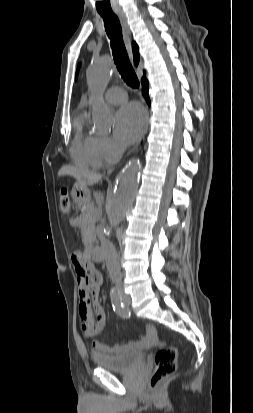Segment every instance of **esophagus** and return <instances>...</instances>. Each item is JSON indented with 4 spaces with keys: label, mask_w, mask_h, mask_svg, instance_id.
<instances>
[{
    "label": "esophagus",
    "mask_w": 253,
    "mask_h": 413,
    "mask_svg": "<svg viewBox=\"0 0 253 413\" xmlns=\"http://www.w3.org/2000/svg\"><path fill=\"white\" fill-rule=\"evenodd\" d=\"M117 16L120 20L122 29H123V35H124V39H125V43H126V48L128 51V54L130 57H132V48H131V42H132V38H131V32H130V28L127 22V18L125 16V14L123 12H118Z\"/></svg>",
    "instance_id": "esophagus-1"
}]
</instances>
